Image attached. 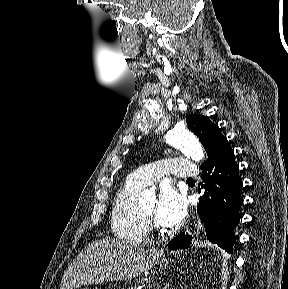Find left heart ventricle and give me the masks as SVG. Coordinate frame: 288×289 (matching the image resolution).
Returning a JSON list of instances; mask_svg holds the SVG:
<instances>
[{
    "label": "left heart ventricle",
    "instance_id": "b2bd125f",
    "mask_svg": "<svg viewBox=\"0 0 288 289\" xmlns=\"http://www.w3.org/2000/svg\"><path fill=\"white\" fill-rule=\"evenodd\" d=\"M157 209V203L152 202L151 204L147 205L146 207L142 208L141 210L150 218H154Z\"/></svg>",
    "mask_w": 288,
    "mask_h": 289
}]
</instances>
